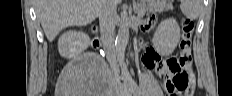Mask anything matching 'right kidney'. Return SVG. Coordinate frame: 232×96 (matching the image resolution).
Here are the masks:
<instances>
[{
    "mask_svg": "<svg viewBox=\"0 0 232 96\" xmlns=\"http://www.w3.org/2000/svg\"><path fill=\"white\" fill-rule=\"evenodd\" d=\"M89 41L85 33L67 31L59 38V53L65 58H76L88 47Z\"/></svg>",
    "mask_w": 232,
    "mask_h": 96,
    "instance_id": "right-kidney-1",
    "label": "right kidney"
}]
</instances>
